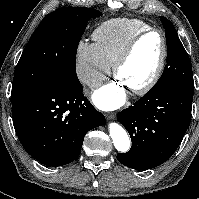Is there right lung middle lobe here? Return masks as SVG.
<instances>
[{"label":"right lung middle lobe","mask_w":199,"mask_h":199,"mask_svg":"<svg viewBox=\"0 0 199 199\" xmlns=\"http://www.w3.org/2000/svg\"><path fill=\"white\" fill-rule=\"evenodd\" d=\"M102 13L86 7H63L43 18L17 64L11 92L15 102L50 82L81 83L76 74V51L91 18Z\"/></svg>","instance_id":"obj_1"}]
</instances>
